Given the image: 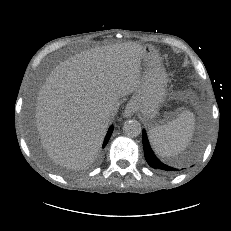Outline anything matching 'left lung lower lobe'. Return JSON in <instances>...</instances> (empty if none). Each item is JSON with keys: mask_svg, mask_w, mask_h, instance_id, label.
I'll return each instance as SVG.
<instances>
[{"mask_svg": "<svg viewBox=\"0 0 231 231\" xmlns=\"http://www.w3.org/2000/svg\"><path fill=\"white\" fill-rule=\"evenodd\" d=\"M143 147H144V156L145 159L147 161V163L154 169H158L162 172L165 173H176L178 171H180V169L169 166L163 162H161L152 152L148 139H147V135L145 130L143 131Z\"/></svg>", "mask_w": 231, "mask_h": 231, "instance_id": "obj_1", "label": "left lung lower lobe"}]
</instances>
